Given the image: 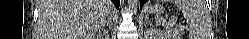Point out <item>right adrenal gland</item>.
<instances>
[{"label": "right adrenal gland", "instance_id": "obj_1", "mask_svg": "<svg viewBox=\"0 0 249 39\" xmlns=\"http://www.w3.org/2000/svg\"><path fill=\"white\" fill-rule=\"evenodd\" d=\"M105 25H106V21L101 25V30H103Z\"/></svg>", "mask_w": 249, "mask_h": 39}]
</instances>
